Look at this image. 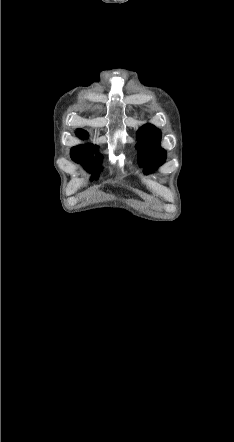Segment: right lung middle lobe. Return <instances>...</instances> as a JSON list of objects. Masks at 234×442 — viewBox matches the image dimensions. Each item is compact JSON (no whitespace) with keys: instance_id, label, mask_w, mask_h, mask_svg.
I'll return each mask as SVG.
<instances>
[{"instance_id":"1","label":"right lung middle lobe","mask_w":234,"mask_h":442,"mask_svg":"<svg viewBox=\"0 0 234 442\" xmlns=\"http://www.w3.org/2000/svg\"><path fill=\"white\" fill-rule=\"evenodd\" d=\"M97 152V148H87L85 146H76L72 148L71 157L74 161L84 165V167L92 173L94 178L99 175L98 165L102 161V156L98 155L96 159L92 154Z\"/></svg>"}]
</instances>
